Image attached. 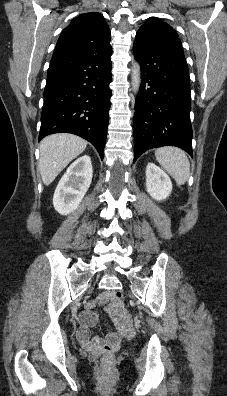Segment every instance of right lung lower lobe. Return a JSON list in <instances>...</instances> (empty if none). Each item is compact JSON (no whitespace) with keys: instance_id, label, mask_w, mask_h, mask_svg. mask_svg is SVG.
Listing matches in <instances>:
<instances>
[{"instance_id":"1","label":"right lung lower lobe","mask_w":227,"mask_h":396,"mask_svg":"<svg viewBox=\"0 0 227 396\" xmlns=\"http://www.w3.org/2000/svg\"><path fill=\"white\" fill-rule=\"evenodd\" d=\"M111 55L109 43L51 60L39 140L59 132L76 134L91 142L103 159L110 110Z\"/></svg>"}]
</instances>
